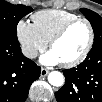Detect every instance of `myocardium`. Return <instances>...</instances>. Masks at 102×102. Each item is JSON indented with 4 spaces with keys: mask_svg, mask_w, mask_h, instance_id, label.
I'll use <instances>...</instances> for the list:
<instances>
[{
    "mask_svg": "<svg viewBox=\"0 0 102 102\" xmlns=\"http://www.w3.org/2000/svg\"><path fill=\"white\" fill-rule=\"evenodd\" d=\"M77 23H84L87 26L89 30V38L83 52L76 59L69 62L61 63V65L65 68H71L81 64L88 56L94 40V31L91 23L85 18H76L72 21H69L62 28H60L59 31H57L49 41V49L51 50L53 46L65 36V34L69 31V29Z\"/></svg>",
    "mask_w": 102,
    "mask_h": 102,
    "instance_id": "obj_1",
    "label": "myocardium"
}]
</instances>
